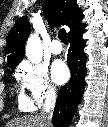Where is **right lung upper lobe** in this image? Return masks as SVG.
<instances>
[{"instance_id": "right-lung-upper-lobe-1", "label": "right lung upper lobe", "mask_w": 108, "mask_h": 127, "mask_svg": "<svg viewBox=\"0 0 108 127\" xmlns=\"http://www.w3.org/2000/svg\"><path fill=\"white\" fill-rule=\"evenodd\" d=\"M43 14L52 26L66 25L70 33L82 26L83 12L79 9L76 0H44ZM30 33V25L27 17L17 20L11 29L5 53L8 66L17 65L25 54V42Z\"/></svg>"}]
</instances>
